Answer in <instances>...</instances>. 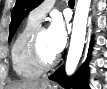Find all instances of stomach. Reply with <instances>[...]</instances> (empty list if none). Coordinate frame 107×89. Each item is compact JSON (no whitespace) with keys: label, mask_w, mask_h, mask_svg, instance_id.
Segmentation results:
<instances>
[{"label":"stomach","mask_w":107,"mask_h":89,"mask_svg":"<svg viewBox=\"0 0 107 89\" xmlns=\"http://www.w3.org/2000/svg\"><path fill=\"white\" fill-rule=\"evenodd\" d=\"M41 89H57V87L55 85L48 83L47 85H45V87H43Z\"/></svg>","instance_id":"0dacf381"}]
</instances>
